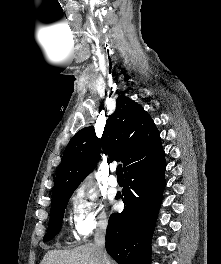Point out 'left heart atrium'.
Here are the masks:
<instances>
[{"label": "left heart atrium", "mask_w": 221, "mask_h": 264, "mask_svg": "<svg viewBox=\"0 0 221 264\" xmlns=\"http://www.w3.org/2000/svg\"><path fill=\"white\" fill-rule=\"evenodd\" d=\"M117 205V202H114V206H116Z\"/></svg>", "instance_id": "obj_1"}]
</instances>
